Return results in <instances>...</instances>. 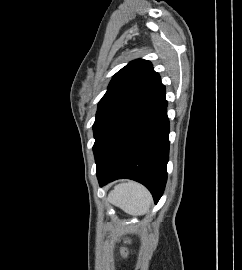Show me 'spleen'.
<instances>
[{
  "label": "spleen",
  "instance_id": "3e777b00",
  "mask_svg": "<svg viewBox=\"0 0 242 270\" xmlns=\"http://www.w3.org/2000/svg\"><path fill=\"white\" fill-rule=\"evenodd\" d=\"M108 201L126 213L137 215L149 210L152 197L145 187L128 181L115 186L108 195Z\"/></svg>",
  "mask_w": 242,
  "mask_h": 270
}]
</instances>
